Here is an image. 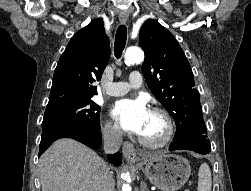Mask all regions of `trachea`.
Returning <instances> with one entry per match:
<instances>
[{
	"instance_id": "3493384b",
	"label": "trachea",
	"mask_w": 251,
	"mask_h": 191,
	"mask_svg": "<svg viewBox=\"0 0 251 191\" xmlns=\"http://www.w3.org/2000/svg\"><path fill=\"white\" fill-rule=\"evenodd\" d=\"M127 40V28L125 25H120L117 29L115 42H114V55L116 58H120L122 51L126 46Z\"/></svg>"
}]
</instances>
